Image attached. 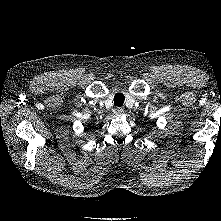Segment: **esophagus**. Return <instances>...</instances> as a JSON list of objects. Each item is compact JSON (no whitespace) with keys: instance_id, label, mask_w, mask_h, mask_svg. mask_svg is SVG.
<instances>
[{"instance_id":"1","label":"esophagus","mask_w":221,"mask_h":221,"mask_svg":"<svg viewBox=\"0 0 221 221\" xmlns=\"http://www.w3.org/2000/svg\"><path fill=\"white\" fill-rule=\"evenodd\" d=\"M123 112H124V110H123V108H121V107H117V108H115V110H114V113H115L116 115H122Z\"/></svg>"}]
</instances>
